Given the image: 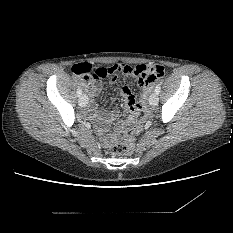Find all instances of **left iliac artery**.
Wrapping results in <instances>:
<instances>
[{"label": "left iliac artery", "mask_w": 233, "mask_h": 233, "mask_svg": "<svg viewBox=\"0 0 233 233\" xmlns=\"http://www.w3.org/2000/svg\"><path fill=\"white\" fill-rule=\"evenodd\" d=\"M160 89H161L160 84H158V85L156 86V88H155V92H156L157 94H159V93H160Z\"/></svg>", "instance_id": "obj_1"}]
</instances>
